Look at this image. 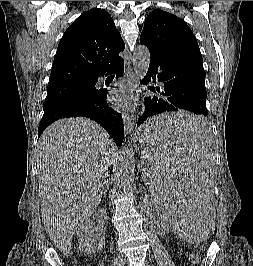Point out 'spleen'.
Segmentation results:
<instances>
[{
	"label": "spleen",
	"mask_w": 253,
	"mask_h": 266,
	"mask_svg": "<svg viewBox=\"0 0 253 266\" xmlns=\"http://www.w3.org/2000/svg\"><path fill=\"white\" fill-rule=\"evenodd\" d=\"M206 115L201 111H163L149 117L146 132H155L146 139V150L140 160L139 174L145 187L161 204L171 219V229H177L185 248H203L213 226L212 179L214 165Z\"/></svg>",
	"instance_id": "3e777b00"
}]
</instances>
